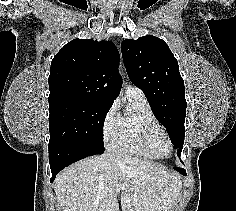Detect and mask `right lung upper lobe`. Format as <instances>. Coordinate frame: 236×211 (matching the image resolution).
I'll return each instance as SVG.
<instances>
[{"mask_svg": "<svg viewBox=\"0 0 236 211\" xmlns=\"http://www.w3.org/2000/svg\"><path fill=\"white\" fill-rule=\"evenodd\" d=\"M119 52L112 42L74 39L53 58L49 107L74 101L113 103L120 93Z\"/></svg>", "mask_w": 236, "mask_h": 211, "instance_id": "right-lung-upper-lobe-1", "label": "right lung upper lobe"}]
</instances>
